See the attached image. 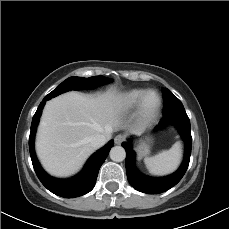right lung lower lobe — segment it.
I'll return each mask as SVG.
<instances>
[{"instance_id":"1","label":"right lung lower lobe","mask_w":229,"mask_h":229,"mask_svg":"<svg viewBox=\"0 0 229 229\" xmlns=\"http://www.w3.org/2000/svg\"><path fill=\"white\" fill-rule=\"evenodd\" d=\"M46 101L47 99L44 98L33 116L29 137V150L35 173L41 183L49 191L58 196L64 198H74L87 194L93 189L99 169L108 156L110 149L113 147L114 141L111 140L107 145L94 153L85 164L83 170L77 176L70 179H56L51 177L40 166L34 150L35 132Z\"/></svg>"}]
</instances>
